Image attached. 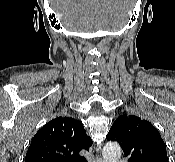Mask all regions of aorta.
Listing matches in <instances>:
<instances>
[{
  "mask_svg": "<svg viewBox=\"0 0 175 162\" xmlns=\"http://www.w3.org/2000/svg\"><path fill=\"white\" fill-rule=\"evenodd\" d=\"M121 154V147L116 142H107L103 147L104 162H119Z\"/></svg>",
  "mask_w": 175,
  "mask_h": 162,
  "instance_id": "762f6f07",
  "label": "aorta"
}]
</instances>
